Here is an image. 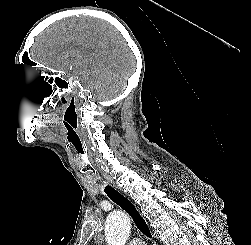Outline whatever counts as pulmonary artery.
Returning a JSON list of instances; mask_svg holds the SVG:
<instances>
[{"label": "pulmonary artery", "mask_w": 251, "mask_h": 245, "mask_svg": "<svg viewBox=\"0 0 251 245\" xmlns=\"http://www.w3.org/2000/svg\"><path fill=\"white\" fill-rule=\"evenodd\" d=\"M128 245H146L141 239H133L129 242Z\"/></svg>", "instance_id": "pulmonary-artery-1"}]
</instances>
